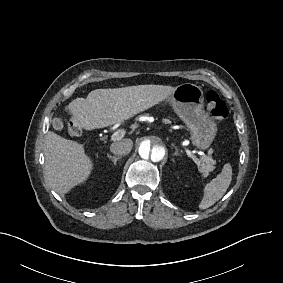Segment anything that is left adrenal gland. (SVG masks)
Returning a JSON list of instances; mask_svg holds the SVG:
<instances>
[{
    "label": "left adrenal gland",
    "mask_w": 283,
    "mask_h": 283,
    "mask_svg": "<svg viewBox=\"0 0 283 283\" xmlns=\"http://www.w3.org/2000/svg\"><path fill=\"white\" fill-rule=\"evenodd\" d=\"M178 149H176V153L173 154V156L179 157L180 155L178 154Z\"/></svg>",
    "instance_id": "left-adrenal-gland-1"
}]
</instances>
